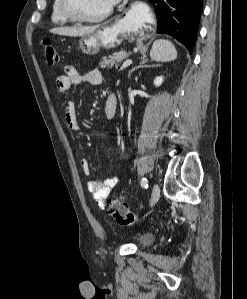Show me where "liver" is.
<instances>
[{"label": "liver", "mask_w": 247, "mask_h": 299, "mask_svg": "<svg viewBox=\"0 0 247 299\" xmlns=\"http://www.w3.org/2000/svg\"><path fill=\"white\" fill-rule=\"evenodd\" d=\"M99 25L94 26H77V27H56L50 29L51 33L70 36V37H81L94 32Z\"/></svg>", "instance_id": "6515ba94"}]
</instances>
